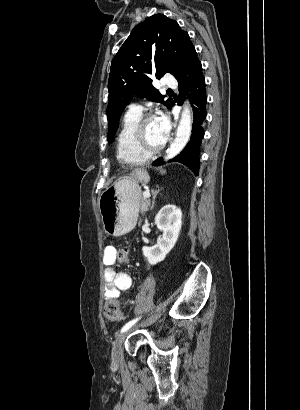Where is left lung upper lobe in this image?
<instances>
[{"instance_id": "5c2ea615", "label": "left lung upper lobe", "mask_w": 300, "mask_h": 410, "mask_svg": "<svg viewBox=\"0 0 300 410\" xmlns=\"http://www.w3.org/2000/svg\"><path fill=\"white\" fill-rule=\"evenodd\" d=\"M195 48L188 33L175 20L156 14L136 25L112 60L108 82V142L112 143L119 118L132 97L163 103L171 109L174 101H163L152 85V76L171 73L179 79L187 70Z\"/></svg>"}]
</instances>
